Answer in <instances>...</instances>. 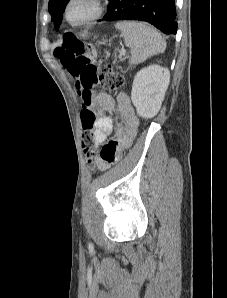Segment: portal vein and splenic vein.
<instances>
[{
  "label": "portal vein and splenic vein",
  "mask_w": 227,
  "mask_h": 298,
  "mask_svg": "<svg viewBox=\"0 0 227 298\" xmlns=\"http://www.w3.org/2000/svg\"><path fill=\"white\" fill-rule=\"evenodd\" d=\"M125 54V52L123 51V52H121V55H124Z\"/></svg>",
  "instance_id": "portal-vein-and-splenic-vein-1"
}]
</instances>
